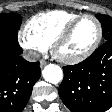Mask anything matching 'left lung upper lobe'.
Instances as JSON below:
<instances>
[{
	"instance_id": "1",
	"label": "left lung upper lobe",
	"mask_w": 112,
	"mask_h": 112,
	"mask_svg": "<svg viewBox=\"0 0 112 112\" xmlns=\"http://www.w3.org/2000/svg\"><path fill=\"white\" fill-rule=\"evenodd\" d=\"M96 17L102 24V32L105 41L112 40V17L102 14L96 15Z\"/></svg>"
}]
</instances>
